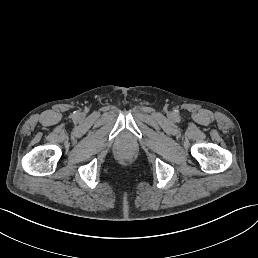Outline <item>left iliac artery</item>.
Instances as JSON below:
<instances>
[{
	"label": "left iliac artery",
	"instance_id": "1",
	"mask_svg": "<svg viewBox=\"0 0 258 258\" xmlns=\"http://www.w3.org/2000/svg\"><path fill=\"white\" fill-rule=\"evenodd\" d=\"M175 115L179 118L178 110H175Z\"/></svg>",
	"mask_w": 258,
	"mask_h": 258
}]
</instances>
